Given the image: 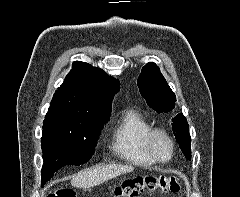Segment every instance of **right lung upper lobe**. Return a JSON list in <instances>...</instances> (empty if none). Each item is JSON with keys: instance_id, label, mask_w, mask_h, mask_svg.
Masks as SVG:
<instances>
[{"instance_id": "1", "label": "right lung upper lobe", "mask_w": 240, "mask_h": 197, "mask_svg": "<svg viewBox=\"0 0 240 197\" xmlns=\"http://www.w3.org/2000/svg\"><path fill=\"white\" fill-rule=\"evenodd\" d=\"M119 89V80L108 76L102 69L75 61L55 91L45 118L75 122L106 121L113 96Z\"/></svg>"}]
</instances>
